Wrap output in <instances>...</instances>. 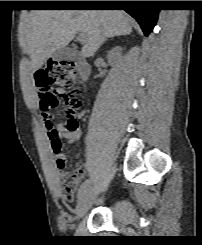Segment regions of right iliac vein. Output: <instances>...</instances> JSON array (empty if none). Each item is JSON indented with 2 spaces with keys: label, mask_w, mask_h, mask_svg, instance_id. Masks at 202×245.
<instances>
[{
  "label": "right iliac vein",
  "mask_w": 202,
  "mask_h": 245,
  "mask_svg": "<svg viewBox=\"0 0 202 245\" xmlns=\"http://www.w3.org/2000/svg\"><path fill=\"white\" fill-rule=\"evenodd\" d=\"M96 200L95 193L93 190H87L84 194H82L76 206V214L79 218L83 217L87 211L92 206V203Z\"/></svg>",
  "instance_id": "63e3f726"
}]
</instances>
